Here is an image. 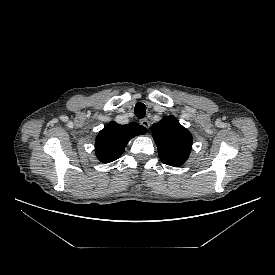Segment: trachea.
I'll use <instances>...</instances> for the list:
<instances>
[{
	"label": "trachea",
	"instance_id": "1",
	"mask_svg": "<svg viewBox=\"0 0 275 275\" xmlns=\"http://www.w3.org/2000/svg\"><path fill=\"white\" fill-rule=\"evenodd\" d=\"M134 113L138 118H144L146 115V106L144 103L138 102L135 105Z\"/></svg>",
	"mask_w": 275,
	"mask_h": 275
}]
</instances>
